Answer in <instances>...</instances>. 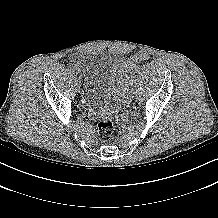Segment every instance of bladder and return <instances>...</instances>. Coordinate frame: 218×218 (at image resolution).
Here are the masks:
<instances>
[{
    "instance_id": "31cf9c89",
    "label": "bladder",
    "mask_w": 218,
    "mask_h": 218,
    "mask_svg": "<svg viewBox=\"0 0 218 218\" xmlns=\"http://www.w3.org/2000/svg\"><path fill=\"white\" fill-rule=\"evenodd\" d=\"M77 67L83 72L81 98L84 105L97 114L107 115L115 106L119 86L123 83L130 65L115 56L79 54Z\"/></svg>"
}]
</instances>
